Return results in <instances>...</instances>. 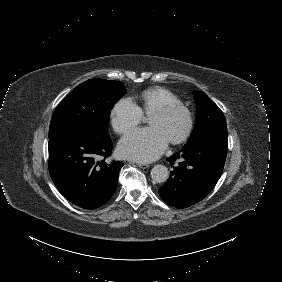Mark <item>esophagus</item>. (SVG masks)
<instances>
[{"label": "esophagus", "instance_id": "obj_1", "mask_svg": "<svg viewBox=\"0 0 282 282\" xmlns=\"http://www.w3.org/2000/svg\"><path fill=\"white\" fill-rule=\"evenodd\" d=\"M138 167L142 168V169H146L149 167V164L146 163H137Z\"/></svg>", "mask_w": 282, "mask_h": 282}]
</instances>
